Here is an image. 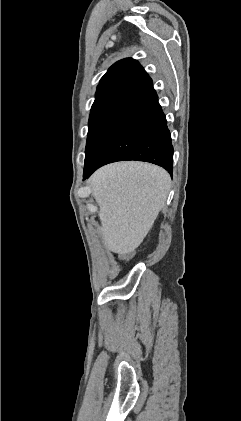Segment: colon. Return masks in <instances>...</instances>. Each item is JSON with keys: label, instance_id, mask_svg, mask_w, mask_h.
I'll use <instances>...</instances> for the list:
<instances>
[{"label": "colon", "instance_id": "obj_1", "mask_svg": "<svg viewBox=\"0 0 241 421\" xmlns=\"http://www.w3.org/2000/svg\"><path fill=\"white\" fill-rule=\"evenodd\" d=\"M130 257V254H125L124 259H128Z\"/></svg>", "mask_w": 241, "mask_h": 421}]
</instances>
